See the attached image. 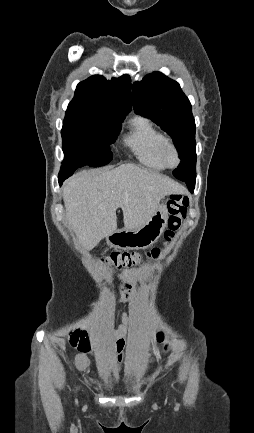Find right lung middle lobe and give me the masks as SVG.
Listing matches in <instances>:
<instances>
[{
    "label": "right lung middle lobe",
    "mask_w": 254,
    "mask_h": 433,
    "mask_svg": "<svg viewBox=\"0 0 254 433\" xmlns=\"http://www.w3.org/2000/svg\"><path fill=\"white\" fill-rule=\"evenodd\" d=\"M122 121L94 108H68L63 128V167L79 168L86 164L102 166L112 159L109 144L113 143Z\"/></svg>",
    "instance_id": "obj_1"
}]
</instances>
